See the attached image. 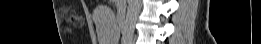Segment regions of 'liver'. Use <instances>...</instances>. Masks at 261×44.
Returning <instances> with one entry per match:
<instances>
[{
  "label": "liver",
  "mask_w": 261,
  "mask_h": 44,
  "mask_svg": "<svg viewBox=\"0 0 261 44\" xmlns=\"http://www.w3.org/2000/svg\"><path fill=\"white\" fill-rule=\"evenodd\" d=\"M100 13H109V8L99 7ZM96 9L94 13L97 12ZM112 14H95L94 19L97 25H94V30H98V39L102 44H114L116 39L117 25H99V24H116V19H112Z\"/></svg>",
  "instance_id": "1"
}]
</instances>
